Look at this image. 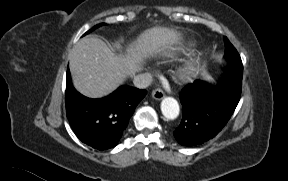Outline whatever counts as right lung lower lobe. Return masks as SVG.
<instances>
[{
    "instance_id": "right-lung-lower-lobe-1",
    "label": "right lung lower lobe",
    "mask_w": 288,
    "mask_h": 181,
    "mask_svg": "<svg viewBox=\"0 0 288 181\" xmlns=\"http://www.w3.org/2000/svg\"><path fill=\"white\" fill-rule=\"evenodd\" d=\"M146 94V90L121 86L107 97L90 99L73 87L67 70V118L76 136L98 150H106L118 144L136 106Z\"/></svg>"
}]
</instances>
